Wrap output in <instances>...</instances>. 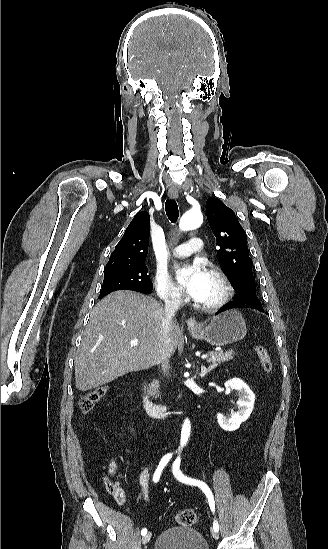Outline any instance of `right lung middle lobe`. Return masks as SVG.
I'll list each match as a JSON object with an SVG mask.
<instances>
[{
  "label": "right lung middle lobe",
  "mask_w": 328,
  "mask_h": 549,
  "mask_svg": "<svg viewBox=\"0 0 328 549\" xmlns=\"http://www.w3.org/2000/svg\"><path fill=\"white\" fill-rule=\"evenodd\" d=\"M145 261L105 270L103 286L99 298L116 290H133L142 293L152 291V281L147 275Z\"/></svg>",
  "instance_id": "obj_1"
}]
</instances>
